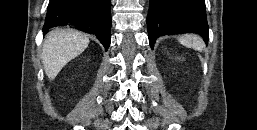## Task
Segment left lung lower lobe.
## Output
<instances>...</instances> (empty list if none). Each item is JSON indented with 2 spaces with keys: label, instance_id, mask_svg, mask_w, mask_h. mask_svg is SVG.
I'll return each mask as SVG.
<instances>
[{
  "label": "left lung lower lobe",
  "instance_id": "1",
  "mask_svg": "<svg viewBox=\"0 0 257 130\" xmlns=\"http://www.w3.org/2000/svg\"><path fill=\"white\" fill-rule=\"evenodd\" d=\"M150 47L162 35L194 32L208 41L204 0H150L147 15Z\"/></svg>",
  "mask_w": 257,
  "mask_h": 130
}]
</instances>
